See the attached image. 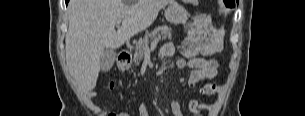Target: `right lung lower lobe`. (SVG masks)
<instances>
[{
	"instance_id": "1",
	"label": "right lung lower lobe",
	"mask_w": 305,
	"mask_h": 116,
	"mask_svg": "<svg viewBox=\"0 0 305 116\" xmlns=\"http://www.w3.org/2000/svg\"><path fill=\"white\" fill-rule=\"evenodd\" d=\"M65 1H66V4H67L69 0H65Z\"/></svg>"
}]
</instances>
